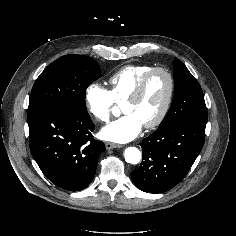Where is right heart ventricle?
<instances>
[{
    "instance_id": "e07e8e85",
    "label": "right heart ventricle",
    "mask_w": 236,
    "mask_h": 236,
    "mask_svg": "<svg viewBox=\"0 0 236 236\" xmlns=\"http://www.w3.org/2000/svg\"><path fill=\"white\" fill-rule=\"evenodd\" d=\"M152 68L151 65H127L115 72L108 80L114 100L125 101L144 74Z\"/></svg>"
}]
</instances>
